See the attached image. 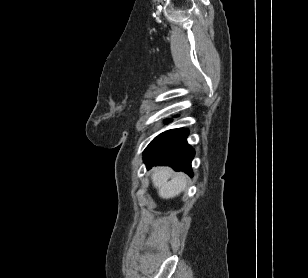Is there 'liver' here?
Instances as JSON below:
<instances>
[{
  "instance_id": "liver-1",
  "label": "liver",
  "mask_w": 308,
  "mask_h": 278,
  "mask_svg": "<svg viewBox=\"0 0 308 278\" xmlns=\"http://www.w3.org/2000/svg\"><path fill=\"white\" fill-rule=\"evenodd\" d=\"M173 171L168 167H157L151 176L154 187L163 199L174 198L186 189L187 176L177 174L171 180Z\"/></svg>"
}]
</instances>
